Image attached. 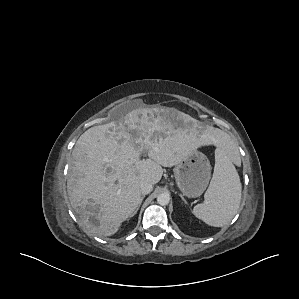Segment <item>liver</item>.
<instances>
[{
  "label": "liver",
  "instance_id": "1",
  "mask_svg": "<svg viewBox=\"0 0 299 299\" xmlns=\"http://www.w3.org/2000/svg\"><path fill=\"white\" fill-rule=\"evenodd\" d=\"M171 117L166 109H134L79 137L67 191L79 221L91 234H115L140 203V182L157 184L162 166H176L196 151L200 138L177 127ZM212 135L225 144L223 131ZM143 152L148 159H140Z\"/></svg>",
  "mask_w": 299,
  "mask_h": 299
}]
</instances>
